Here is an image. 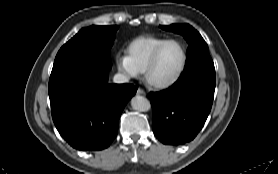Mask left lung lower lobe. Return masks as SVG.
I'll list each match as a JSON object with an SVG mask.
<instances>
[{
	"mask_svg": "<svg viewBox=\"0 0 278 174\" xmlns=\"http://www.w3.org/2000/svg\"><path fill=\"white\" fill-rule=\"evenodd\" d=\"M214 90L215 76L197 73L180 77L166 90L150 92L155 136L171 145L193 140L209 115Z\"/></svg>",
	"mask_w": 278,
	"mask_h": 174,
	"instance_id": "obj_1",
	"label": "left lung lower lobe"
}]
</instances>
